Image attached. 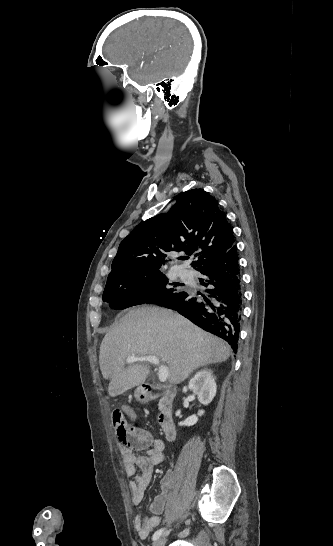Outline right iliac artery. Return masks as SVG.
I'll use <instances>...</instances> for the list:
<instances>
[{
    "mask_svg": "<svg viewBox=\"0 0 333 546\" xmlns=\"http://www.w3.org/2000/svg\"><path fill=\"white\" fill-rule=\"evenodd\" d=\"M163 532H164V528L157 530L152 537L153 541H156L162 535Z\"/></svg>",
    "mask_w": 333,
    "mask_h": 546,
    "instance_id": "1",
    "label": "right iliac artery"
}]
</instances>
